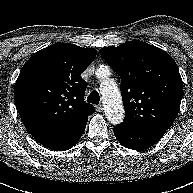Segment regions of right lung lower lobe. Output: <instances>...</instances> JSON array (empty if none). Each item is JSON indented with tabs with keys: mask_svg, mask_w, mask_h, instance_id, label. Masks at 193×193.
I'll return each instance as SVG.
<instances>
[{
	"mask_svg": "<svg viewBox=\"0 0 193 193\" xmlns=\"http://www.w3.org/2000/svg\"><path fill=\"white\" fill-rule=\"evenodd\" d=\"M86 124L82 125L68 134L56 138L40 141L39 143L48 149L55 151H64L72 148L82 136Z\"/></svg>",
	"mask_w": 193,
	"mask_h": 193,
	"instance_id": "obj_1",
	"label": "right lung lower lobe"
}]
</instances>
